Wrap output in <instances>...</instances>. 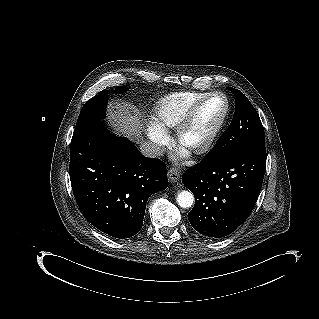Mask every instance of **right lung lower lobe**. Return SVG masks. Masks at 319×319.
I'll use <instances>...</instances> for the list:
<instances>
[{
	"instance_id": "1",
	"label": "right lung lower lobe",
	"mask_w": 319,
	"mask_h": 319,
	"mask_svg": "<svg viewBox=\"0 0 319 319\" xmlns=\"http://www.w3.org/2000/svg\"><path fill=\"white\" fill-rule=\"evenodd\" d=\"M69 173L84 217L119 239L140 231L149 196L168 186L165 165L111 135L101 119L75 129Z\"/></svg>"
}]
</instances>
